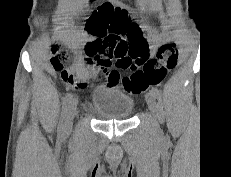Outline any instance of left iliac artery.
Masks as SVG:
<instances>
[{
  "instance_id": "1",
  "label": "left iliac artery",
  "mask_w": 231,
  "mask_h": 177,
  "mask_svg": "<svg viewBox=\"0 0 231 177\" xmlns=\"http://www.w3.org/2000/svg\"><path fill=\"white\" fill-rule=\"evenodd\" d=\"M150 92L154 95L155 98H157V99L160 98V92L157 88L152 87Z\"/></svg>"
}]
</instances>
